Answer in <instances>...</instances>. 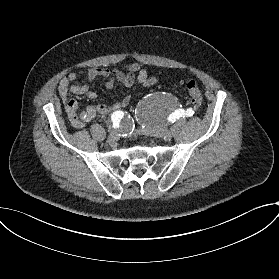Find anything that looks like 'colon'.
<instances>
[{"label": "colon", "mask_w": 279, "mask_h": 279, "mask_svg": "<svg viewBox=\"0 0 279 279\" xmlns=\"http://www.w3.org/2000/svg\"><path fill=\"white\" fill-rule=\"evenodd\" d=\"M186 88L192 102L195 104L196 107L200 108L203 102V95L199 85L194 80H189L186 83Z\"/></svg>", "instance_id": "obj_1"}]
</instances>
